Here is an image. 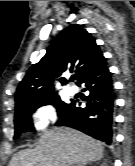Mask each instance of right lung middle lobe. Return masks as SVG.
Listing matches in <instances>:
<instances>
[{
    "mask_svg": "<svg viewBox=\"0 0 135 166\" xmlns=\"http://www.w3.org/2000/svg\"><path fill=\"white\" fill-rule=\"evenodd\" d=\"M43 105H53L55 108H57L59 116L62 115L70 106V104L64 103L58 95H54L43 101L26 105L19 109H16L15 119H14V124H15L14 139L18 138L20 134L23 132L34 131L31 121V115L37 108Z\"/></svg>",
    "mask_w": 135,
    "mask_h": 166,
    "instance_id": "dd1d6c3e",
    "label": "right lung middle lobe"
}]
</instances>
